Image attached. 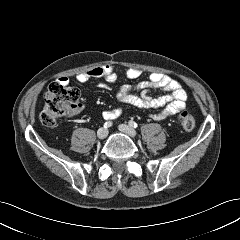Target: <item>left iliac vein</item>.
Segmentation results:
<instances>
[{
    "instance_id": "obj_1",
    "label": "left iliac vein",
    "mask_w": 240,
    "mask_h": 240,
    "mask_svg": "<svg viewBox=\"0 0 240 240\" xmlns=\"http://www.w3.org/2000/svg\"><path fill=\"white\" fill-rule=\"evenodd\" d=\"M118 128L121 132L127 134L128 136H130L132 138L137 135L136 131L132 127H130L126 124H120Z\"/></svg>"
}]
</instances>
